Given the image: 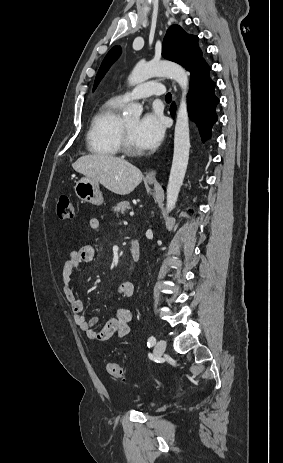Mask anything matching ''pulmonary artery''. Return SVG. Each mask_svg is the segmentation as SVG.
Segmentation results:
<instances>
[{
    "mask_svg": "<svg viewBox=\"0 0 283 463\" xmlns=\"http://www.w3.org/2000/svg\"><path fill=\"white\" fill-rule=\"evenodd\" d=\"M166 88L157 81H149L142 85L137 86L130 92L119 96L123 102H129L135 99L148 98L150 96H162L164 95Z\"/></svg>",
    "mask_w": 283,
    "mask_h": 463,
    "instance_id": "obj_1",
    "label": "pulmonary artery"
}]
</instances>
